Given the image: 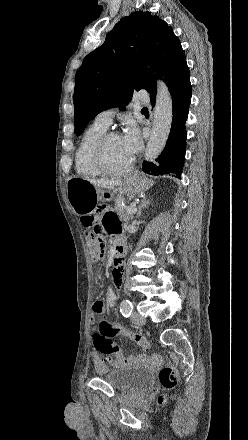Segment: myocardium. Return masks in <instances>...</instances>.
Instances as JSON below:
<instances>
[{"label": "myocardium", "mask_w": 248, "mask_h": 440, "mask_svg": "<svg viewBox=\"0 0 248 440\" xmlns=\"http://www.w3.org/2000/svg\"><path fill=\"white\" fill-rule=\"evenodd\" d=\"M116 136H120L119 133L114 132V131H109V132H105L96 142L93 152H92V161L94 166L96 167V169L104 175H109V176H121L124 174L129 173L133 167H134V162L135 160L132 159V161L129 163L128 166L122 168V169H111L107 163H106V159H105V152H106V147L108 144V141L112 138V137H116Z\"/></svg>", "instance_id": "obj_1"}]
</instances>
